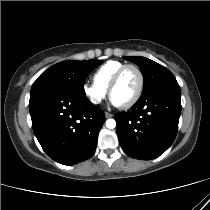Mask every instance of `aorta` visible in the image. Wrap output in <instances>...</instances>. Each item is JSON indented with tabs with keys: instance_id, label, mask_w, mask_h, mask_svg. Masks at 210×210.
<instances>
[{
	"instance_id": "762f6f07",
	"label": "aorta",
	"mask_w": 210,
	"mask_h": 210,
	"mask_svg": "<svg viewBox=\"0 0 210 210\" xmlns=\"http://www.w3.org/2000/svg\"><path fill=\"white\" fill-rule=\"evenodd\" d=\"M106 127L109 129H114L116 127V121L114 119H108L106 121Z\"/></svg>"
}]
</instances>
